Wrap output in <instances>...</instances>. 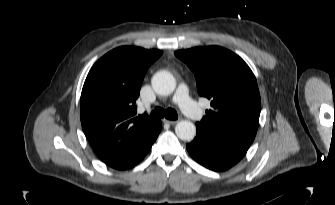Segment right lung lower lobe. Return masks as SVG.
<instances>
[{
    "label": "right lung lower lobe",
    "mask_w": 335,
    "mask_h": 205,
    "mask_svg": "<svg viewBox=\"0 0 335 205\" xmlns=\"http://www.w3.org/2000/svg\"><path fill=\"white\" fill-rule=\"evenodd\" d=\"M152 142L148 147H146L144 150H142L140 153L133 155L131 157L121 159V160H112V161H106L105 163L115 169L118 170H126L133 166H135L138 162H140L146 154L149 152L152 144Z\"/></svg>",
    "instance_id": "obj_1"
}]
</instances>
